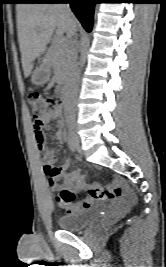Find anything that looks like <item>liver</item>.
I'll return each instance as SVG.
<instances>
[{
    "label": "liver",
    "instance_id": "obj_1",
    "mask_svg": "<svg viewBox=\"0 0 166 267\" xmlns=\"http://www.w3.org/2000/svg\"><path fill=\"white\" fill-rule=\"evenodd\" d=\"M16 19L25 77L31 74L35 60L44 53L54 32L62 37L70 23L75 28L78 25L74 15L69 19L59 4L20 3L16 6Z\"/></svg>",
    "mask_w": 166,
    "mask_h": 267
}]
</instances>
